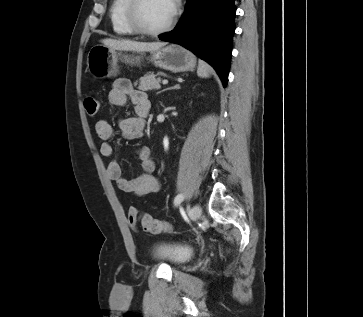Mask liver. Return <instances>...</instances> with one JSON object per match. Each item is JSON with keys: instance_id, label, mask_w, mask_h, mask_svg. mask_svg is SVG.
I'll use <instances>...</instances> for the list:
<instances>
[{"instance_id": "liver-1", "label": "liver", "mask_w": 363, "mask_h": 317, "mask_svg": "<svg viewBox=\"0 0 363 317\" xmlns=\"http://www.w3.org/2000/svg\"><path fill=\"white\" fill-rule=\"evenodd\" d=\"M101 42L112 50L136 51V52H152L166 45V42H138L130 40L103 39Z\"/></svg>"}]
</instances>
